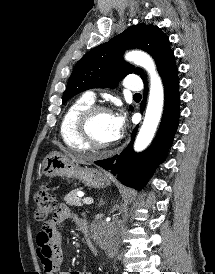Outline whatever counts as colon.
Here are the masks:
<instances>
[{
    "label": "colon",
    "instance_id": "1",
    "mask_svg": "<svg viewBox=\"0 0 215 274\" xmlns=\"http://www.w3.org/2000/svg\"><path fill=\"white\" fill-rule=\"evenodd\" d=\"M35 200V219L38 222H45L47 218L54 213L57 207L55 194L47 186L40 187L34 196Z\"/></svg>",
    "mask_w": 215,
    "mask_h": 274
}]
</instances>
